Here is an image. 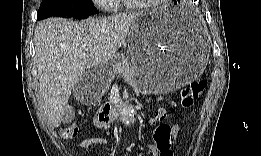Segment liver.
Listing matches in <instances>:
<instances>
[{
	"label": "liver",
	"mask_w": 261,
	"mask_h": 156,
	"mask_svg": "<svg viewBox=\"0 0 261 156\" xmlns=\"http://www.w3.org/2000/svg\"><path fill=\"white\" fill-rule=\"evenodd\" d=\"M142 12L74 22L60 17L34 32L39 93L48 122L58 127L74 85L88 69L115 56ZM85 57L80 58V55Z\"/></svg>",
	"instance_id": "6515ba94"
}]
</instances>
